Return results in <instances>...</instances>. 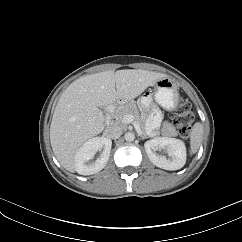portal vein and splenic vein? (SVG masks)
<instances>
[{
	"label": "portal vein and splenic vein",
	"mask_w": 242,
	"mask_h": 242,
	"mask_svg": "<svg viewBox=\"0 0 242 242\" xmlns=\"http://www.w3.org/2000/svg\"><path fill=\"white\" fill-rule=\"evenodd\" d=\"M122 122L124 124H130V123H132L134 125V128L136 129V131L138 133H141V129H140L139 124L134 120V117L131 114L124 115L122 117Z\"/></svg>",
	"instance_id": "18ae733b"
}]
</instances>
